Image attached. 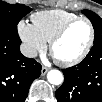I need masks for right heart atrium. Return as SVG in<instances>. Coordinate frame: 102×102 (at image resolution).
I'll list each match as a JSON object with an SVG mask.
<instances>
[{"label":"right heart atrium","mask_w":102,"mask_h":102,"mask_svg":"<svg viewBox=\"0 0 102 102\" xmlns=\"http://www.w3.org/2000/svg\"><path fill=\"white\" fill-rule=\"evenodd\" d=\"M18 33L24 43L25 52L28 56H35L46 50L47 42L40 36L34 26L26 21L18 24Z\"/></svg>","instance_id":"d8ad5b80"}]
</instances>
